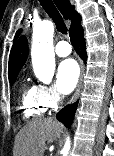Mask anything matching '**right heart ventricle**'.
<instances>
[{"mask_svg": "<svg viewBox=\"0 0 114 156\" xmlns=\"http://www.w3.org/2000/svg\"><path fill=\"white\" fill-rule=\"evenodd\" d=\"M21 109L26 119L42 116L46 107L39 97L38 87L24 84L21 92Z\"/></svg>", "mask_w": 114, "mask_h": 156, "instance_id": "obj_1", "label": "right heart ventricle"}]
</instances>
